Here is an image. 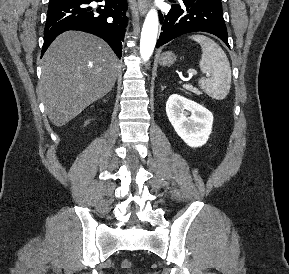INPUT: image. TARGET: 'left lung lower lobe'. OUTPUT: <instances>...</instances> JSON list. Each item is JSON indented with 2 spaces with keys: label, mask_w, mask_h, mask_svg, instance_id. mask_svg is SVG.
<instances>
[{
  "label": "left lung lower lobe",
  "mask_w": 289,
  "mask_h": 274,
  "mask_svg": "<svg viewBox=\"0 0 289 274\" xmlns=\"http://www.w3.org/2000/svg\"><path fill=\"white\" fill-rule=\"evenodd\" d=\"M172 8L159 13L162 31L156 47L190 32L203 31L220 38L228 47V34L220 0H169Z\"/></svg>",
  "instance_id": "0a47b994"
}]
</instances>
